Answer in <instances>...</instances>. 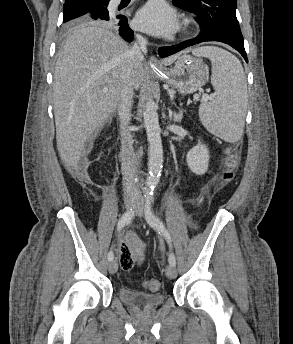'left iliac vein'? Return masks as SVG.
<instances>
[{
	"instance_id": "4c4485c4",
	"label": "left iliac vein",
	"mask_w": 293,
	"mask_h": 344,
	"mask_svg": "<svg viewBox=\"0 0 293 344\" xmlns=\"http://www.w3.org/2000/svg\"><path fill=\"white\" fill-rule=\"evenodd\" d=\"M142 214H143V208H142V205L139 203L136 208V215L142 216ZM165 273H166V276L170 279H174L177 276L176 268L172 265H169L166 267Z\"/></svg>"
}]
</instances>
